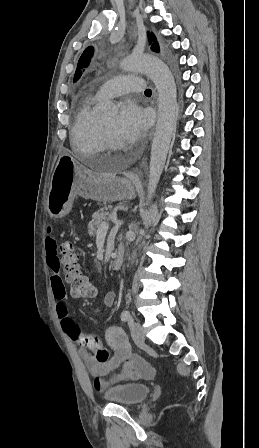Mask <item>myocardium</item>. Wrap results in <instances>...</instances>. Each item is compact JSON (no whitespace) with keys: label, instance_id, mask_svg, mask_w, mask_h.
<instances>
[{"label":"myocardium","instance_id":"myocardium-1","mask_svg":"<svg viewBox=\"0 0 259 448\" xmlns=\"http://www.w3.org/2000/svg\"><path fill=\"white\" fill-rule=\"evenodd\" d=\"M99 130H100V136L104 145V149L108 150H117L119 146L112 140L109 131L104 126V124L99 121ZM102 152V151H101ZM98 152V153H101ZM86 154L78 152L79 161H85L86 160Z\"/></svg>","mask_w":259,"mask_h":448}]
</instances>
